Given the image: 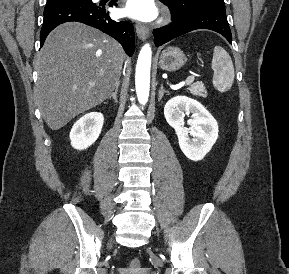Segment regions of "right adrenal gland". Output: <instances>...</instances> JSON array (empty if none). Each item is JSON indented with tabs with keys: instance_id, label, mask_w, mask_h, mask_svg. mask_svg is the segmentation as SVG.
<instances>
[{
	"instance_id": "right-adrenal-gland-1",
	"label": "right adrenal gland",
	"mask_w": 289,
	"mask_h": 274,
	"mask_svg": "<svg viewBox=\"0 0 289 274\" xmlns=\"http://www.w3.org/2000/svg\"><path fill=\"white\" fill-rule=\"evenodd\" d=\"M120 86V81L118 82V84L116 85L115 91L108 97V99L113 98L114 102L117 103V93H118V88Z\"/></svg>"
}]
</instances>
